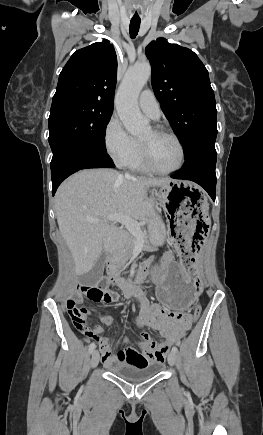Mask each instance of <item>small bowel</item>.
Here are the masks:
<instances>
[{
	"label": "small bowel",
	"mask_w": 263,
	"mask_h": 435,
	"mask_svg": "<svg viewBox=\"0 0 263 435\" xmlns=\"http://www.w3.org/2000/svg\"><path fill=\"white\" fill-rule=\"evenodd\" d=\"M163 258H173L170 252H166L157 260L155 257L149 258L136 272L132 280L125 278L116 279V285L122 290L124 296L134 300L139 306L137 324L139 327L151 329L158 332V341L154 340L147 333V339H140L138 346L140 350L127 347L113 354L111 348H100L102 362L104 366L111 367L114 364H126L131 366H142L153 361H164L166 355H170L175 348V341L179 340L191 327L187 321L188 315L185 310H166L165 305L150 303L145 294L137 287V283L144 279L146 273H152L153 268L160 266ZM114 295L112 302H117L119 295L110 291ZM74 300L81 304L84 301L83 292L78 289L74 294ZM111 302V303H112ZM106 324H112V319L104 317ZM174 341V342H173ZM100 343H110L106 337L101 338Z\"/></svg>",
	"instance_id": "small-bowel-1"
}]
</instances>
